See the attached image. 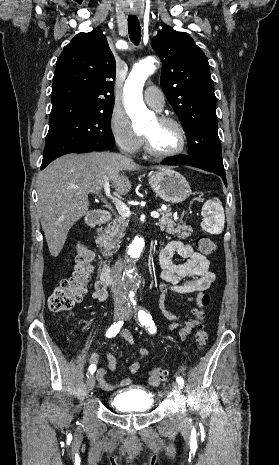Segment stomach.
Wrapping results in <instances>:
<instances>
[{
  "mask_svg": "<svg viewBox=\"0 0 279 465\" xmlns=\"http://www.w3.org/2000/svg\"><path fill=\"white\" fill-rule=\"evenodd\" d=\"M149 184L156 195L168 203H180L191 193L186 178L171 168H162L151 174Z\"/></svg>",
  "mask_w": 279,
  "mask_h": 465,
  "instance_id": "1",
  "label": "stomach"
}]
</instances>
